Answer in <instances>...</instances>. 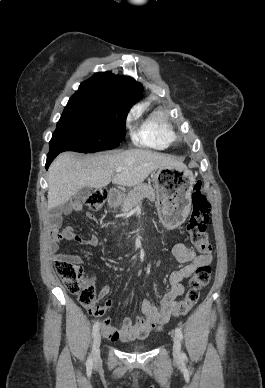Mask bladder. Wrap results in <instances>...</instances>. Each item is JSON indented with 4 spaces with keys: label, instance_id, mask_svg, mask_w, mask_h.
<instances>
[{
    "label": "bladder",
    "instance_id": "1",
    "mask_svg": "<svg viewBox=\"0 0 265 388\" xmlns=\"http://www.w3.org/2000/svg\"><path fill=\"white\" fill-rule=\"evenodd\" d=\"M148 348H149L148 344H136V345L127 347V350L136 351V352H144V351H147Z\"/></svg>",
    "mask_w": 265,
    "mask_h": 388
}]
</instances>
